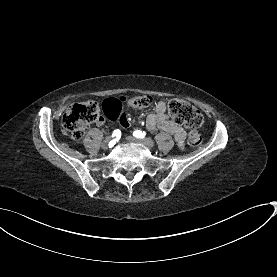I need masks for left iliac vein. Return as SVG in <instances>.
I'll use <instances>...</instances> for the list:
<instances>
[{"label":"left iliac vein","mask_w":277,"mask_h":277,"mask_svg":"<svg viewBox=\"0 0 277 277\" xmlns=\"http://www.w3.org/2000/svg\"><path fill=\"white\" fill-rule=\"evenodd\" d=\"M126 140L129 141V142H135V143L142 144V145H144L148 148H152L154 146V141L150 138L138 139V138L128 136L126 138Z\"/></svg>","instance_id":"4c4485c4"}]
</instances>
